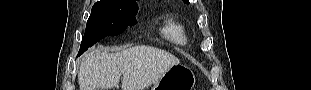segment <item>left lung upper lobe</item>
I'll return each instance as SVG.
<instances>
[{"label":"left lung upper lobe","mask_w":311,"mask_h":90,"mask_svg":"<svg viewBox=\"0 0 311 90\" xmlns=\"http://www.w3.org/2000/svg\"><path fill=\"white\" fill-rule=\"evenodd\" d=\"M184 2H186V3H189V1L188 0H183Z\"/></svg>","instance_id":"obj_1"}]
</instances>
